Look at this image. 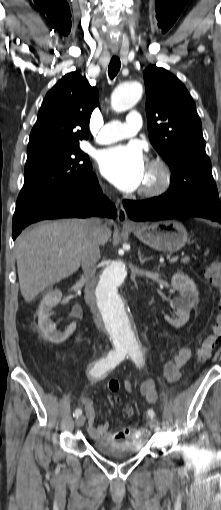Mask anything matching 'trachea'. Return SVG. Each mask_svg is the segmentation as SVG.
I'll use <instances>...</instances> for the list:
<instances>
[{"label":"trachea","instance_id":"1","mask_svg":"<svg viewBox=\"0 0 221 510\" xmlns=\"http://www.w3.org/2000/svg\"><path fill=\"white\" fill-rule=\"evenodd\" d=\"M121 67L120 59L117 56H113L110 60L108 67V74L110 79H113L119 72Z\"/></svg>","mask_w":221,"mask_h":510}]
</instances>
